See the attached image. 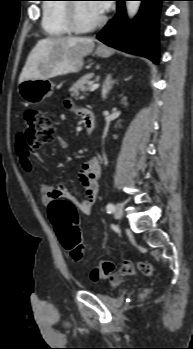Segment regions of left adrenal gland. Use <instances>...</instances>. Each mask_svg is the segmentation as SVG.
Instances as JSON below:
<instances>
[{
  "instance_id": "a2214340",
  "label": "left adrenal gland",
  "mask_w": 193,
  "mask_h": 349,
  "mask_svg": "<svg viewBox=\"0 0 193 349\" xmlns=\"http://www.w3.org/2000/svg\"><path fill=\"white\" fill-rule=\"evenodd\" d=\"M116 81H113L111 79V75H108L105 82H104V85H103V88H102V97L103 99H106L107 97V94L109 93V91L112 89L113 87V84L115 83Z\"/></svg>"
}]
</instances>
